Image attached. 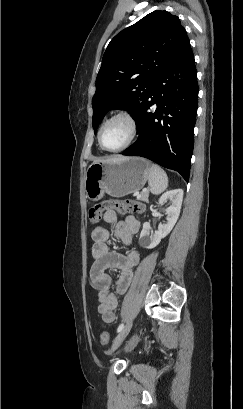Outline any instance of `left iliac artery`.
Returning a JSON list of instances; mask_svg holds the SVG:
<instances>
[{"instance_id":"1","label":"left iliac artery","mask_w":243,"mask_h":409,"mask_svg":"<svg viewBox=\"0 0 243 409\" xmlns=\"http://www.w3.org/2000/svg\"><path fill=\"white\" fill-rule=\"evenodd\" d=\"M123 328H124V324L122 323V324H120V325L118 326L117 332L122 331Z\"/></svg>"}]
</instances>
